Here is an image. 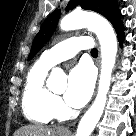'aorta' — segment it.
I'll return each mask as SVG.
<instances>
[{
  "instance_id": "762f6f07",
  "label": "aorta",
  "mask_w": 136,
  "mask_h": 136,
  "mask_svg": "<svg viewBox=\"0 0 136 136\" xmlns=\"http://www.w3.org/2000/svg\"><path fill=\"white\" fill-rule=\"evenodd\" d=\"M83 27H87L97 35L101 45L102 60L97 96L91 107L82 117L76 136H90L103 114L117 53L116 34L111 24L100 15L85 11H73L62 18L60 22V28L63 31ZM48 87L56 92L65 91L66 75L62 69L54 68L52 70L48 80Z\"/></svg>"
}]
</instances>
